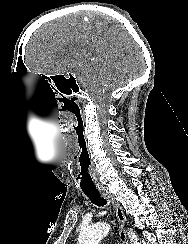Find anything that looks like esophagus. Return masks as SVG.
<instances>
[{"label":"esophagus","instance_id":"1","mask_svg":"<svg viewBox=\"0 0 188 244\" xmlns=\"http://www.w3.org/2000/svg\"><path fill=\"white\" fill-rule=\"evenodd\" d=\"M101 194L105 199L109 200L112 203V205L115 209L117 220L119 222L120 239L122 241V244H128L127 235H126V232L124 229L126 217H125L122 206L120 205V203L116 200V198L108 190H102Z\"/></svg>","mask_w":188,"mask_h":244}]
</instances>
